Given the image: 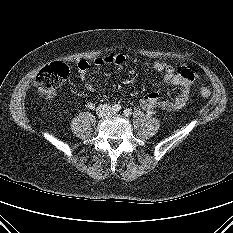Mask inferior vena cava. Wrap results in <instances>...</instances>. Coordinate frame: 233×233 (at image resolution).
Listing matches in <instances>:
<instances>
[{
    "label": "inferior vena cava",
    "mask_w": 233,
    "mask_h": 233,
    "mask_svg": "<svg viewBox=\"0 0 233 233\" xmlns=\"http://www.w3.org/2000/svg\"><path fill=\"white\" fill-rule=\"evenodd\" d=\"M110 106L107 105V104H101L100 106H98L97 108V113L100 115V116H105L107 114H109V111H110Z\"/></svg>",
    "instance_id": "1"
}]
</instances>
